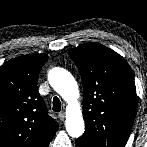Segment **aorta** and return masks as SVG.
Masks as SVG:
<instances>
[{
    "label": "aorta",
    "mask_w": 147,
    "mask_h": 147,
    "mask_svg": "<svg viewBox=\"0 0 147 147\" xmlns=\"http://www.w3.org/2000/svg\"><path fill=\"white\" fill-rule=\"evenodd\" d=\"M53 89L67 102L66 131L71 137H80L85 130L82 110L78 103L79 90L74 77L65 69L53 68L48 74Z\"/></svg>",
    "instance_id": "aorta-1"
}]
</instances>
